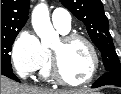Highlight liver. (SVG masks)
I'll use <instances>...</instances> for the list:
<instances>
[{
  "instance_id": "6515ba94",
  "label": "liver",
  "mask_w": 121,
  "mask_h": 94,
  "mask_svg": "<svg viewBox=\"0 0 121 94\" xmlns=\"http://www.w3.org/2000/svg\"><path fill=\"white\" fill-rule=\"evenodd\" d=\"M1 94H86L77 90H48L28 85L18 84L1 75Z\"/></svg>"
}]
</instances>
